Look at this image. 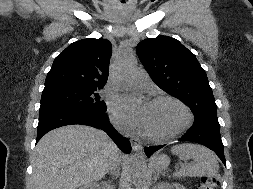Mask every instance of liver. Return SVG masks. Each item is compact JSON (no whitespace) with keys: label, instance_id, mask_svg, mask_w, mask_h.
<instances>
[{"label":"liver","instance_id":"1","mask_svg":"<svg viewBox=\"0 0 253 189\" xmlns=\"http://www.w3.org/2000/svg\"><path fill=\"white\" fill-rule=\"evenodd\" d=\"M126 157L102 130L70 125L45 134L35 148V189H76L100 180Z\"/></svg>","mask_w":253,"mask_h":189}]
</instances>
